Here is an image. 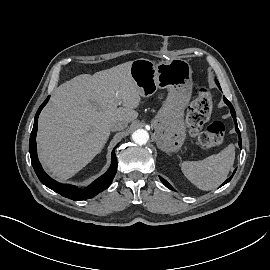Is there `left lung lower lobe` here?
I'll use <instances>...</instances> for the list:
<instances>
[{"instance_id": "obj_1", "label": "left lung lower lobe", "mask_w": 270, "mask_h": 270, "mask_svg": "<svg viewBox=\"0 0 270 270\" xmlns=\"http://www.w3.org/2000/svg\"><path fill=\"white\" fill-rule=\"evenodd\" d=\"M216 83H217L218 87L220 88V85H219V83H218L217 80H216ZM223 99H224V102H225V103L229 106V108H230L231 115H232V117H233V119H234V123H235V129H236V132L238 133V136H239V146H240V148H241V135H240V131H239V129H238L237 121H236L235 110H234L232 104H231L225 97H223ZM235 171H236V170H235ZM235 171L233 172V175H234ZM233 175H232L230 178H228L222 185L228 183V182L232 179ZM160 180L162 181V183H163L166 187H168V188L171 189V190H174V189L171 187V185H170L166 180H164V179L161 178V177H160Z\"/></svg>"}]
</instances>
